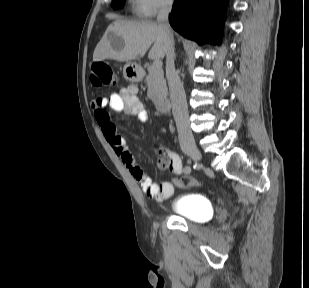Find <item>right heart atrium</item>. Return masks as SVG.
Wrapping results in <instances>:
<instances>
[{"label":"right heart atrium","mask_w":309,"mask_h":288,"mask_svg":"<svg viewBox=\"0 0 309 288\" xmlns=\"http://www.w3.org/2000/svg\"><path fill=\"white\" fill-rule=\"evenodd\" d=\"M133 2L138 14L152 17L159 11L170 8L174 0H133Z\"/></svg>","instance_id":"obj_1"}]
</instances>
